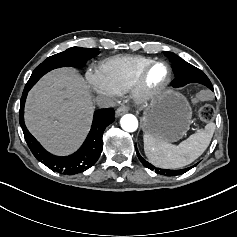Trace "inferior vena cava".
<instances>
[{
    "label": "inferior vena cava",
    "instance_id": "inferior-vena-cava-1",
    "mask_svg": "<svg viewBox=\"0 0 237 237\" xmlns=\"http://www.w3.org/2000/svg\"><path fill=\"white\" fill-rule=\"evenodd\" d=\"M95 104L102 109H106V108H115L116 106V102L106 96H97L95 98Z\"/></svg>",
    "mask_w": 237,
    "mask_h": 237
}]
</instances>
